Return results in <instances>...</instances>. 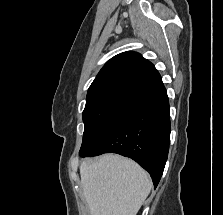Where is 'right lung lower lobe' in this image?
I'll return each instance as SVG.
<instances>
[{
  "label": "right lung lower lobe",
  "mask_w": 223,
  "mask_h": 215,
  "mask_svg": "<svg viewBox=\"0 0 223 215\" xmlns=\"http://www.w3.org/2000/svg\"><path fill=\"white\" fill-rule=\"evenodd\" d=\"M169 142V100L163 87L134 105L94 148L80 156L117 153L129 157L150 174L156 188L167 160Z\"/></svg>",
  "instance_id": "98d812e1"
}]
</instances>
